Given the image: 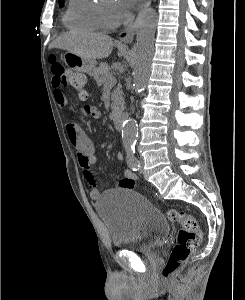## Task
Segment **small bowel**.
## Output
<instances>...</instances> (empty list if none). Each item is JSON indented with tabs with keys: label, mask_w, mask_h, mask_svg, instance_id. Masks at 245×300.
<instances>
[{
	"label": "small bowel",
	"mask_w": 245,
	"mask_h": 300,
	"mask_svg": "<svg viewBox=\"0 0 245 300\" xmlns=\"http://www.w3.org/2000/svg\"><path fill=\"white\" fill-rule=\"evenodd\" d=\"M52 85L54 89V98L57 105L61 108L66 107L67 99L62 90V84L57 77H53ZM80 113L88 119H99L101 117L100 111L93 105H84ZM66 132L70 143L76 148L77 162L82 171L83 178L87 184L92 198L96 199L101 195L98 186L97 178L95 176V164L97 158L95 155V147L93 141L87 136L82 127L73 121L66 124ZM117 161H122L123 156L121 153L115 155ZM136 182V175L126 170L123 177L116 182V187L120 189H133Z\"/></svg>",
	"instance_id": "obj_1"
}]
</instances>
